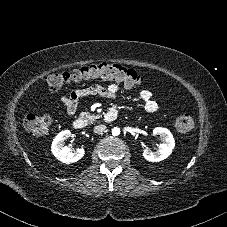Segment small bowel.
Segmentation results:
<instances>
[{
	"mask_svg": "<svg viewBox=\"0 0 227 227\" xmlns=\"http://www.w3.org/2000/svg\"><path fill=\"white\" fill-rule=\"evenodd\" d=\"M119 91V85L112 83L107 87L101 85H92L88 88L76 89L68 94L62 95L60 101L68 114H74L80 98L87 96H101L114 98ZM140 98L144 102V108L148 113H155L158 110V104L153 100L152 93L149 90H142Z\"/></svg>",
	"mask_w": 227,
	"mask_h": 227,
	"instance_id": "obj_1",
	"label": "small bowel"
}]
</instances>
